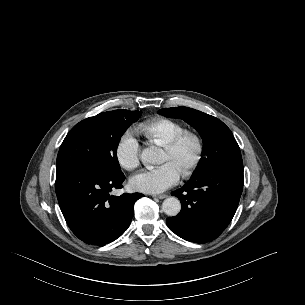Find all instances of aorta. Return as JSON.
I'll use <instances>...</instances> for the list:
<instances>
[{
    "instance_id": "obj_1",
    "label": "aorta",
    "mask_w": 305,
    "mask_h": 305,
    "mask_svg": "<svg viewBox=\"0 0 305 305\" xmlns=\"http://www.w3.org/2000/svg\"><path fill=\"white\" fill-rule=\"evenodd\" d=\"M162 157V149L151 146L143 149L141 158L144 162L152 165L160 164ZM162 209L168 216H176L181 210V203L176 197H169L162 203Z\"/></svg>"
}]
</instances>
